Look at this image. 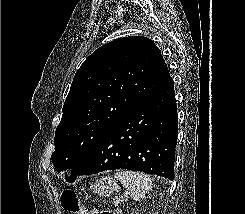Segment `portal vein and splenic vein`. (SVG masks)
Masks as SVG:
<instances>
[{"label":"portal vein and splenic vein","mask_w":245,"mask_h":214,"mask_svg":"<svg viewBox=\"0 0 245 214\" xmlns=\"http://www.w3.org/2000/svg\"><path fill=\"white\" fill-rule=\"evenodd\" d=\"M128 199V195L125 194V197L123 198V200H127Z\"/></svg>","instance_id":"obj_1"}]
</instances>
